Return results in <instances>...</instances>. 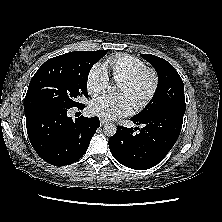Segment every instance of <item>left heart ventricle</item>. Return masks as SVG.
<instances>
[{"label": "left heart ventricle", "mask_w": 222, "mask_h": 222, "mask_svg": "<svg viewBox=\"0 0 222 222\" xmlns=\"http://www.w3.org/2000/svg\"><path fill=\"white\" fill-rule=\"evenodd\" d=\"M150 87H151V78L150 76H145L134 87H128L124 84H121L118 88V93L127 96L133 105L134 103L140 101L146 96Z\"/></svg>", "instance_id": "left-heart-ventricle-1"}]
</instances>
